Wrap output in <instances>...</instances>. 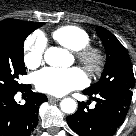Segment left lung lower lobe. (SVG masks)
Returning a JSON list of instances; mask_svg holds the SVG:
<instances>
[{
  "label": "left lung lower lobe",
  "instance_id": "0a47b994",
  "mask_svg": "<svg viewBox=\"0 0 136 136\" xmlns=\"http://www.w3.org/2000/svg\"><path fill=\"white\" fill-rule=\"evenodd\" d=\"M96 101L94 109L80 102L75 114L66 118L69 126L81 136H111L123 123L132 97L131 90L112 89L83 91Z\"/></svg>",
  "mask_w": 136,
  "mask_h": 136
}]
</instances>
